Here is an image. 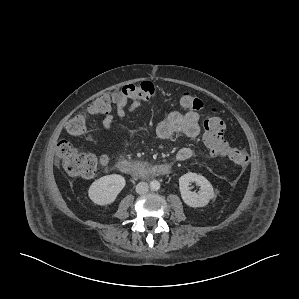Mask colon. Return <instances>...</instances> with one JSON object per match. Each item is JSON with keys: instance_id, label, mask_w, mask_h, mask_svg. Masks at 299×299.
Returning <instances> with one entry per match:
<instances>
[{"instance_id": "5ec220e1", "label": "colon", "mask_w": 299, "mask_h": 299, "mask_svg": "<svg viewBox=\"0 0 299 299\" xmlns=\"http://www.w3.org/2000/svg\"><path fill=\"white\" fill-rule=\"evenodd\" d=\"M121 92L131 100L140 102L148 101L155 92L154 85L149 82H140L124 86ZM179 106L183 111L197 112L203 109L204 103L195 94L183 91L179 94ZM111 109V100L107 95H102L93 100L87 107L86 113H78L66 124L67 132L75 137H87V120L90 115H105ZM210 115L204 121L203 141L215 158H229L239 167L248 163V154L244 150L233 148L224 138L225 123L217 115L215 108H210ZM57 154L64 171L71 176L92 177L104 169L108 160L106 157H96L87 154L69 141L58 143Z\"/></svg>"}]
</instances>
